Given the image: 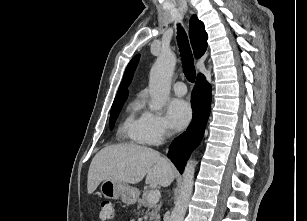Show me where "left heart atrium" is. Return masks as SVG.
Masks as SVG:
<instances>
[{
    "instance_id": "39dd6f15",
    "label": "left heart atrium",
    "mask_w": 307,
    "mask_h": 221,
    "mask_svg": "<svg viewBox=\"0 0 307 221\" xmlns=\"http://www.w3.org/2000/svg\"><path fill=\"white\" fill-rule=\"evenodd\" d=\"M167 118L175 131L183 130L191 121L190 105L183 99H173L167 106Z\"/></svg>"
}]
</instances>
